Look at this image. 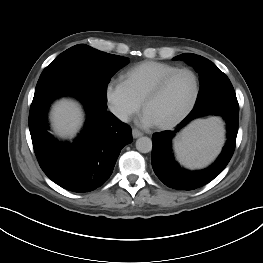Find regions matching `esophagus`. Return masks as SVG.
Wrapping results in <instances>:
<instances>
[{
	"mask_svg": "<svg viewBox=\"0 0 263 263\" xmlns=\"http://www.w3.org/2000/svg\"><path fill=\"white\" fill-rule=\"evenodd\" d=\"M132 135H133V138H138V137L142 136L143 133L140 132L138 129H135V128H134V129L132 130Z\"/></svg>",
	"mask_w": 263,
	"mask_h": 263,
	"instance_id": "esophagus-1",
	"label": "esophagus"
}]
</instances>
